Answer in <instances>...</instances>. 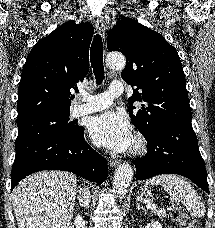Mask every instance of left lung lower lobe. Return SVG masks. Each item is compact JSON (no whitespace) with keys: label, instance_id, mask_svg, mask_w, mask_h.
I'll return each instance as SVG.
<instances>
[{"label":"left lung lower lobe","instance_id":"left-lung-lower-lobe-1","mask_svg":"<svg viewBox=\"0 0 215 228\" xmlns=\"http://www.w3.org/2000/svg\"><path fill=\"white\" fill-rule=\"evenodd\" d=\"M146 140L148 153L134 160L137 180L178 174L209 193L205 164L191 119L162 123Z\"/></svg>","mask_w":215,"mask_h":228}]
</instances>
